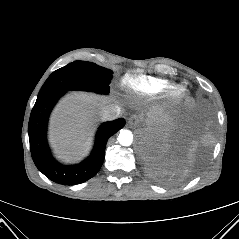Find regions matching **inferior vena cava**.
Returning <instances> with one entry per match:
<instances>
[{
	"label": "inferior vena cava",
	"mask_w": 239,
	"mask_h": 239,
	"mask_svg": "<svg viewBox=\"0 0 239 239\" xmlns=\"http://www.w3.org/2000/svg\"><path fill=\"white\" fill-rule=\"evenodd\" d=\"M121 114V108L118 105L106 107L101 111V116L106 120H114Z\"/></svg>",
	"instance_id": "obj_1"
}]
</instances>
